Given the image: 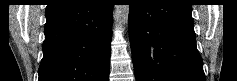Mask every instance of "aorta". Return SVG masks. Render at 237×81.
<instances>
[{"label":"aorta","mask_w":237,"mask_h":81,"mask_svg":"<svg viewBox=\"0 0 237 81\" xmlns=\"http://www.w3.org/2000/svg\"><path fill=\"white\" fill-rule=\"evenodd\" d=\"M129 9H130L129 5H120L119 15H120L121 24L123 26L128 24Z\"/></svg>","instance_id":"aorta-1"}]
</instances>
